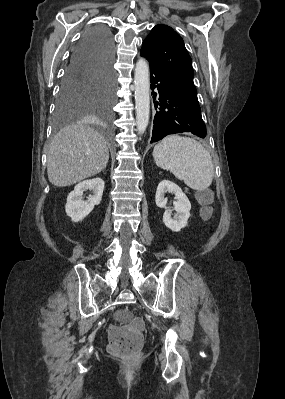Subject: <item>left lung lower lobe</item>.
I'll return each mask as SVG.
<instances>
[{"label": "left lung lower lobe", "mask_w": 285, "mask_h": 399, "mask_svg": "<svg viewBox=\"0 0 285 399\" xmlns=\"http://www.w3.org/2000/svg\"><path fill=\"white\" fill-rule=\"evenodd\" d=\"M141 56L145 54L141 52ZM149 63L151 89L156 108L150 143L159 141L166 135L183 132H191L204 138L206 126L201 116L199 102L160 67L150 61ZM156 88L159 94L154 91Z\"/></svg>", "instance_id": "obj_1"}]
</instances>
